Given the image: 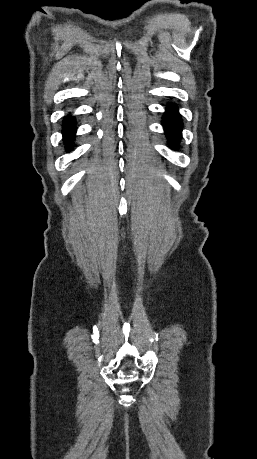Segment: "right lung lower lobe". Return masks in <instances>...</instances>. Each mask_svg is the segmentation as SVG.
Listing matches in <instances>:
<instances>
[{
  "mask_svg": "<svg viewBox=\"0 0 257 459\" xmlns=\"http://www.w3.org/2000/svg\"><path fill=\"white\" fill-rule=\"evenodd\" d=\"M75 130L76 128L73 118L66 117L63 124V135L66 142H71L74 139ZM67 146L69 147L70 144Z\"/></svg>",
  "mask_w": 257,
  "mask_h": 459,
  "instance_id": "1",
  "label": "right lung lower lobe"
}]
</instances>
